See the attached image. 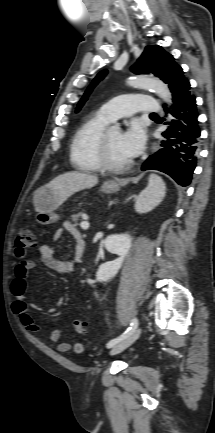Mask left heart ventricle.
<instances>
[{"label":"left heart ventricle","mask_w":215,"mask_h":433,"mask_svg":"<svg viewBox=\"0 0 215 433\" xmlns=\"http://www.w3.org/2000/svg\"><path fill=\"white\" fill-rule=\"evenodd\" d=\"M108 148L110 157L115 163H123L131 159L122 149L121 132L119 130L112 129L108 131Z\"/></svg>","instance_id":"left-heart-ventricle-1"}]
</instances>
